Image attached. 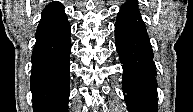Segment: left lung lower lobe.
I'll use <instances>...</instances> for the list:
<instances>
[{"label": "left lung lower lobe", "mask_w": 193, "mask_h": 112, "mask_svg": "<svg viewBox=\"0 0 193 112\" xmlns=\"http://www.w3.org/2000/svg\"><path fill=\"white\" fill-rule=\"evenodd\" d=\"M116 50L123 64L122 87L129 112H157L154 54L137 2L121 6L115 24Z\"/></svg>", "instance_id": "1"}]
</instances>
